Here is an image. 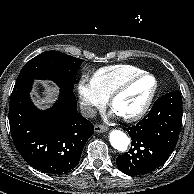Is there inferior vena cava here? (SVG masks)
<instances>
[{
    "instance_id": "1",
    "label": "inferior vena cava",
    "mask_w": 194,
    "mask_h": 194,
    "mask_svg": "<svg viewBox=\"0 0 194 194\" xmlns=\"http://www.w3.org/2000/svg\"><path fill=\"white\" fill-rule=\"evenodd\" d=\"M80 111H81V114L84 116V117H94L95 114H96V111L95 109L88 103H84L80 106Z\"/></svg>"
}]
</instances>
